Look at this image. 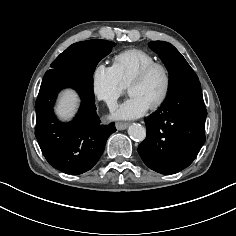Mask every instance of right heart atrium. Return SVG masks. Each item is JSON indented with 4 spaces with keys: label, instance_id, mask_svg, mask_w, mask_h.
I'll return each mask as SVG.
<instances>
[{
    "label": "right heart atrium",
    "instance_id": "obj_1",
    "mask_svg": "<svg viewBox=\"0 0 236 236\" xmlns=\"http://www.w3.org/2000/svg\"><path fill=\"white\" fill-rule=\"evenodd\" d=\"M90 86L95 98L105 102L110 108L115 107L118 98L126 89L114 67L104 63H98L92 68Z\"/></svg>",
    "mask_w": 236,
    "mask_h": 236
}]
</instances>
